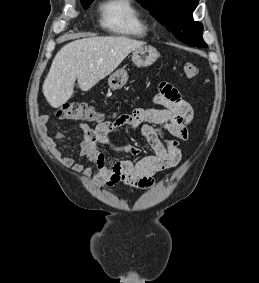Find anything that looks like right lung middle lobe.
Instances as JSON below:
<instances>
[{"instance_id": "right-lung-middle-lobe-1", "label": "right lung middle lobe", "mask_w": 259, "mask_h": 283, "mask_svg": "<svg viewBox=\"0 0 259 283\" xmlns=\"http://www.w3.org/2000/svg\"><path fill=\"white\" fill-rule=\"evenodd\" d=\"M94 0H81V3L84 7V9H86Z\"/></svg>"}]
</instances>
